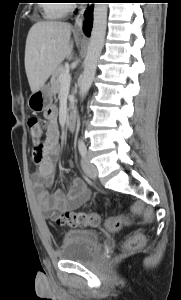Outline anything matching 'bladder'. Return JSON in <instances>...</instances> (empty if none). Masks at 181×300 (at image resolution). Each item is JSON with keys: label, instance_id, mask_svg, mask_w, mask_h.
I'll return each mask as SVG.
<instances>
[{"label": "bladder", "instance_id": "31cf9c89", "mask_svg": "<svg viewBox=\"0 0 181 300\" xmlns=\"http://www.w3.org/2000/svg\"><path fill=\"white\" fill-rule=\"evenodd\" d=\"M101 241L100 233L85 229H71L65 233L60 256L65 261H85L97 251Z\"/></svg>", "mask_w": 181, "mask_h": 300}]
</instances>
